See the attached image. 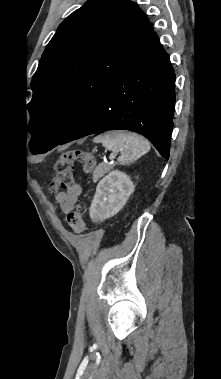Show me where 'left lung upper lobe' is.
Wrapping results in <instances>:
<instances>
[{
    "instance_id": "1",
    "label": "left lung upper lobe",
    "mask_w": 221,
    "mask_h": 379,
    "mask_svg": "<svg viewBox=\"0 0 221 379\" xmlns=\"http://www.w3.org/2000/svg\"><path fill=\"white\" fill-rule=\"evenodd\" d=\"M153 33L146 15L129 0H89L68 16L31 82L30 151L45 153L59 144Z\"/></svg>"
}]
</instances>
